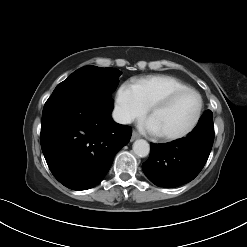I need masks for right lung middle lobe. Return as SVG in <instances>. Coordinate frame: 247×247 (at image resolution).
Returning <instances> with one entry per match:
<instances>
[{
	"instance_id": "right-lung-middle-lobe-1",
	"label": "right lung middle lobe",
	"mask_w": 247,
	"mask_h": 247,
	"mask_svg": "<svg viewBox=\"0 0 247 247\" xmlns=\"http://www.w3.org/2000/svg\"><path fill=\"white\" fill-rule=\"evenodd\" d=\"M121 72L113 68L85 66L57 85L51 97L71 93H97L109 97L119 83Z\"/></svg>"
}]
</instances>
